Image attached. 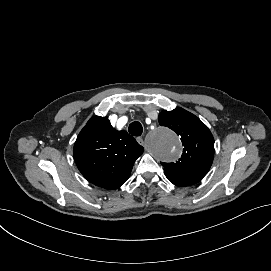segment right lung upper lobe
Returning a JSON list of instances; mask_svg holds the SVG:
<instances>
[{"label": "right lung upper lobe", "instance_id": "cb5924a9", "mask_svg": "<svg viewBox=\"0 0 271 271\" xmlns=\"http://www.w3.org/2000/svg\"><path fill=\"white\" fill-rule=\"evenodd\" d=\"M143 150L126 131L115 130L107 117L94 116L79 133L73 155L89 182L113 190L127 181Z\"/></svg>", "mask_w": 271, "mask_h": 271}]
</instances>
